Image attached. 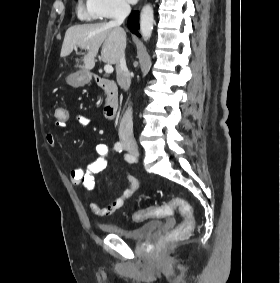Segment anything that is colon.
<instances>
[{"instance_id":"1","label":"colon","mask_w":280,"mask_h":283,"mask_svg":"<svg viewBox=\"0 0 280 283\" xmlns=\"http://www.w3.org/2000/svg\"><path fill=\"white\" fill-rule=\"evenodd\" d=\"M55 122H68V119H73V114H70L67 107L57 105L54 109ZM177 209L182 217L180 224L167 234L168 238H183L188 236L195 225V219L191 205L182 198H173L168 203L162 206H154L143 210L135 211L133 220L140 222L147 218H165L172 215Z\"/></svg>"}]
</instances>
